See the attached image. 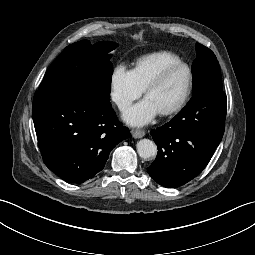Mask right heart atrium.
Returning <instances> with one entry per match:
<instances>
[{
	"label": "right heart atrium",
	"instance_id": "obj_1",
	"mask_svg": "<svg viewBox=\"0 0 255 255\" xmlns=\"http://www.w3.org/2000/svg\"><path fill=\"white\" fill-rule=\"evenodd\" d=\"M110 88L111 99L121 110L128 108L143 91L133 71L124 65H118L113 70Z\"/></svg>",
	"mask_w": 255,
	"mask_h": 255
}]
</instances>
